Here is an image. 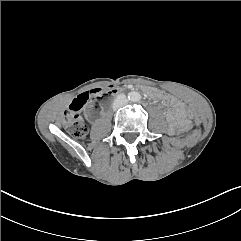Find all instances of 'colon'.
<instances>
[{
  "mask_svg": "<svg viewBox=\"0 0 241 241\" xmlns=\"http://www.w3.org/2000/svg\"><path fill=\"white\" fill-rule=\"evenodd\" d=\"M100 89L90 90L88 92L80 94L71 104L69 110L64 114V123L69 131V133L75 138L83 137L87 128L84 123L79 119L77 111L83 107L90 99L97 98ZM191 132V127L189 125H184L182 129L180 127H175L173 129V134L175 136H180L182 133L189 134Z\"/></svg>",
  "mask_w": 241,
  "mask_h": 241,
  "instance_id": "obj_1",
  "label": "colon"
}]
</instances>
